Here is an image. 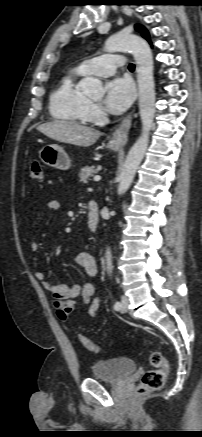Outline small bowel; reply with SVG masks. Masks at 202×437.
<instances>
[{"label":"small bowel","instance_id":"small-bowel-1","mask_svg":"<svg viewBox=\"0 0 202 437\" xmlns=\"http://www.w3.org/2000/svg\"><path fill=\"white\" fill-rule=\"evenodd\" d=\"M60 202L56 200L48 201L44 205L45 210H58ZM31 250L37 252L39 244L35 241L31 243ZM75 263L89 277H95L98 273L97 261L91 254L81 252L75 256ZM35 278L41 283L44 290L50 292L53 297L54 306L57 316L62 321H67L70 314L73 312L78 299H81L83 304L88 306V314L96 318L100 307V299L95 296L96 285L92 281H88L83 285L80 284H58L54 285L45 279V274L42 271H36Z\"/></svg>","mask_w":202,"mask_h":437}]
</instances>
